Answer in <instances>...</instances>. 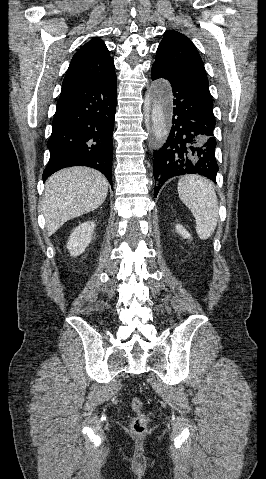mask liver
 Here are the masks:
<instances>
[{
    "mask_svg": "<svg viewBox=\"0 0 266 479\" xmlns=\"http://www.w3.org/2000/svg\"><path fill=\"white\" fill-rule=\"evenodd\" d=\"M107 193L108 181L97 170L71 167L53 174L46 181L42 205L48 236L68 220L97 209Z\"/></svg>",
    "mask_w": 266,
    "mask_h": 479,
    "instance_id": "1",
    "label": "liver"
}]
</instances>
